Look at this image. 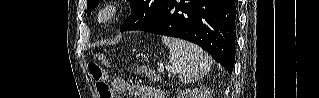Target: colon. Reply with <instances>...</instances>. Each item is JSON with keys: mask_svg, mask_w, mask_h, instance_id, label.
I'll return each mask as SVG.
<instances>
[{"mask_svg": "<svg viewBox=\"0 0 319 98\" xmlns=\"http://www.w3.org/2000/svg\"><path fill=\"white\" fill-rule=\"evenodd\" d=\"M107 63V59L103 56L100 57V62H92L88 65L89 73L96 83V88L99 93L100 98H111V90L109 85L107 84L105 72L102 67L103 64ZM139 73L142 76H145L151 81H157L158 75L154 69L147 65H142L139 67Z\"/></svg>", "mask_w": 319, "mask_h": 98, "instance_id": "5ec220e1", "label": "colon"}]
</instances>
